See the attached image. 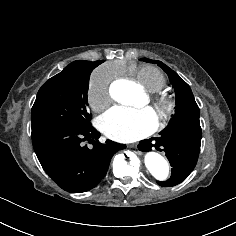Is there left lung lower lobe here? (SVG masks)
Listing matches in <instances>:
<instances>
[{
    "label": "left lung lower lobe",
    "mask_w": 236,
    "mask_h": 236,
    "mask_svg": "<svg viewBox=\"0 0 236 236\" xmlns=\"http://www.w3.org/2000/svg\"><path fill=\"white\" fill-rule=\"evenodd\" d=\"M155 140V148L166 153L171 166V177L166 181H157L160 186L171 187L182 182L195 168L201 144V129L180 126H169ZM151 139L143 140L139 150L149 151Z\"/></svg>",
    "instance_id": "left-lung-lower-lobe-1"
}]
</instances>
